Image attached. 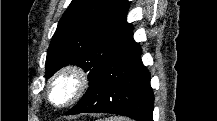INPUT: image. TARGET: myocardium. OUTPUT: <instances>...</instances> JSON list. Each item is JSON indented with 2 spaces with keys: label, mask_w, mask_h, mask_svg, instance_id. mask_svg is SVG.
<instances>
[{
  "label": "myocardium",
  "mask_w": 217,
  "mask_h": 121,
  "mask_svg": "<svg viewBox=\"0 0 217 121\" xmlns=\"http://www.w3.org/2000/svg\"><path fill=\"white\" fill-rule=\"evenodd\" d=\"M64 82L71 85L69 94L62 101H57L54 97L58 86ZM90 85V75L77 65H69L56 72L49 80L47 86V100L57 108L64 109L80 99L88 90Z\"/></svg>",
  "instance_id": "myocardium-1"
}]
</instances>
